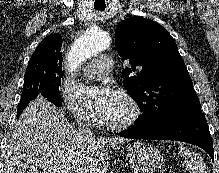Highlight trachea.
Instances as JSON below:
<instances>
[{
	"instance_id": "obj_1",
	"label": "trachea",
	"mask_w": 219,
	"mask_h": 173,
	"mask_svg": "<svg viewBox=\"0 0 219 173\" xmlns=\"http://www.w3.org/2000/svg\"><path fill=\"white\" fill-rule=\"evenodd\" d=\"M95 9L98 11H103V10H105V7H95Z\"/></svg>"
}]
</instances>
